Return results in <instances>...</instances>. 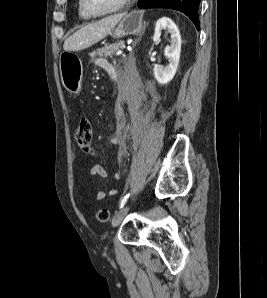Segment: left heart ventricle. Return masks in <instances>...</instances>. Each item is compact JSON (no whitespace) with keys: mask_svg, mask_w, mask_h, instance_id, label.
<instances>
[{"mask_svg":"<svg viewBox=\"0 0 267 298\" xmlns=\"http://www.w3.org/2000/svg\"><path fill=\"white\" fill-rule=\"evenodd\" d=\"M123 0H85L86 8L92 13H105L118 7Z\"/></svg>","mask_w":267,"mask_h":298,"instance_id":"b2bd125f","label":"left heart ventricle"}]
</instances>
